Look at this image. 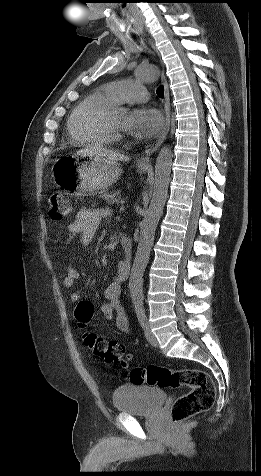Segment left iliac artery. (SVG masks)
Returning a JSON list of instances; mask_svg holds the SVG:
<instances>
[{
  "instance_id": "1",
  "label": "left iliac artery",
  "mask_w": 261,
  "mask_h": 476,
  "mask_svg": "<svg viewBox=\"0 0 261 476\" xmlns=\"http://www.w3.org/2000/svg\"><path fill=\"white\" fill-rule=\"evenodd\" d=\"M135 312L137 314L138 321L142 327H145L147 323V317L145 314V309L142 304L135 305Z\"/></svg>"
}]
</instances>
